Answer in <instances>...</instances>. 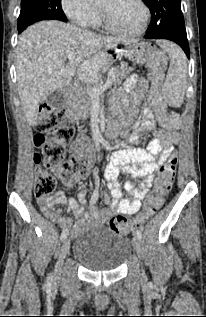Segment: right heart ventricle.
I'll return each instance as SVG.
<instances>
[{"label": "right heart ventricle", "instance_id": "obj_1", "mask_svg": "<svg viewBox=\"0 0 206 317\" xmlns=\"http://www.w3.org/2000/svg\"><path fill=\"white\" fill-rule=\"evenodd\" d=\"M100 24H101V19H100V17H98L93 25L97 26V25H100Z\"/></svg>", "mask_w": 206, "mask_h": 317}]
</instances>
